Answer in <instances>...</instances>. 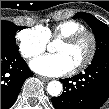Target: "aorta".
Wrapping results in <instances>:
<instances>
[{"label":"aorta","instance_id":"1","mask_svg":"<svg viewBox=\"0 0 109 109\" xmlns=\"http://www.w3.org/2000/svg\"><path fill=\"white\" fill-rule=\"evenodd\" d=\"M47 91L51 96L57 97L62 92V84L59 81H51L47 85Z\"/></svg>","mask_w":109,"mask_h":109}]
</instances>
